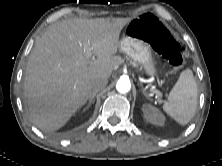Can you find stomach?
<instances>
[{
    "label": "stomach",
    "instance_id": "1",
    "mask_svg": "<svg viewBox=\"0 0 222 166\" xmlns=\"http://www.w3.org/2000/svg\"><path fill=\"white\" fill-rule=\"evenodd\" d=\"M120 50L140 66L148 76H155L157 74L152 50L147 42L127 35L120 41Z\"/></svg>",
    "mask_w": 222,
    "mask_h": 166
}]
</instances>
